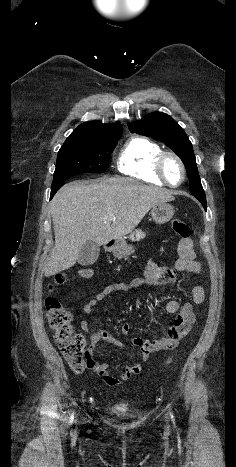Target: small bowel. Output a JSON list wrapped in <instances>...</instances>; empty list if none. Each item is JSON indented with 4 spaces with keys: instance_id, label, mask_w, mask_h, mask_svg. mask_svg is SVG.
<instances>
[{
    "instance_id": "obj_1",
    "label": "small bowel",
    "mask_w": 236,
    "mask_h": 467,
    "mask_svg": "<svg viewBox=\"0 0 236 467\" xmlns=\"http://www.w3.org/2000/svg\"><path fill=\"white\" fill-rule=\"evenodd\" d=\"M179 258L173 266H164L155 263L152 259H148L144 268V279H136L131 284H110L99 291L92 299L84 303L83 311L87 314L92 313L96 306L107 296L112 293L123 291L131 292L132 290L148 286L158 290H162L165 283L175 282L180 275L186 272L198 274L201 272V266L196 261L194 243L192 240H182L178 245ZM191 297L193 304H201L205 300V291L201 285H193L191 288ZM193 304L184 303L180 305L177 300H170L165 305V310L168 313H177V317L172 325L167 330L165 337L148 341L140 337L131 338L133 345L140 349V360L126 367L121 374L116 377L109 372V367L105 363H99L92 355V361L89 368L100 376L107 385H118L121 381L130 379L139 374L142 370V365L146 362L149 356L157 351L174 349L180 340L190 331L195 317L193 313ZM81 329L90 337V352L98 350L101 342H108L117 347H122V344L107 330H91L87 320L80 322ZM131 326L129 323L121 325V332L128 335Z\"/></svg>"
}]
</instances>
